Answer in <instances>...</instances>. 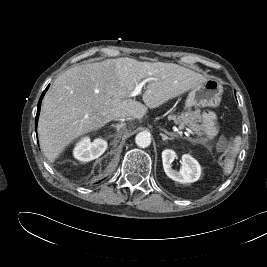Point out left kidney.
I'll return each instance as SVG.
<instances>
[{
  "mask_svg": "<svg viewBox=\"0 0 267 267\" xmlns=\"http://www.w3.org/2000/svg\"><path fill=\"white\" fill-rule=\"evenodd\" d=\"M176 158V153L171 149L162 152L163 168L166 175L172 180L180 183H193L200 178L201 167L196 159L189 154L182 156V167L180 171L173 170L171 163Z\"/></svg>",
  "mask_w": 267,
  "mask_h": 267,
  "instance_id": "left-kidney-1",
  "label": "left kidney"
}]
</instances>
